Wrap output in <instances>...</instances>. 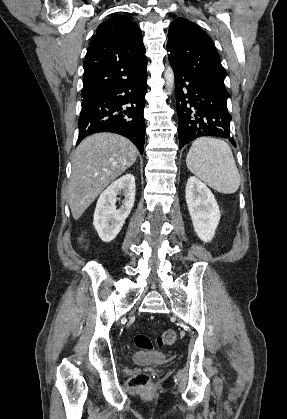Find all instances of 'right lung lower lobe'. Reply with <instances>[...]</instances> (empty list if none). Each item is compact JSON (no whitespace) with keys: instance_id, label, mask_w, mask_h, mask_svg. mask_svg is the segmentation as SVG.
<instances>
[{"instance_id":"right-lung-lower-lobe-1","label":"right lung lower lobe","mask_w":287,"mask_h":419,"mask_svg":"<svg viewBox=\"0 0 287 419\" xmlns=\"http://www.w3.org/2000/svg\"><path fill=\"white\" fill-rule=\"evenodd\" d=\"M146 81L147 72L82 104L77 143L93 133L112 132L130 139L143 154Z\"/></svg>"}]
</instances>
